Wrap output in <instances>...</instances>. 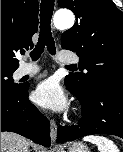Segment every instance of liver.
<instances>
[{"label": "liver", "instance_id": "6515ba94", "mask_svg": "<svg viewBox=\"0 0 123 152\" xmlns=\"http://www.w3.org/2000/svg\"><path fill=\"white\" fill-rule=\"evenodd\" d=\"M30 145L31 142L21 135L1 132V152H29Z\"/></svg>", "mask_w": 123, "mask_h": 152}]
</instances>
